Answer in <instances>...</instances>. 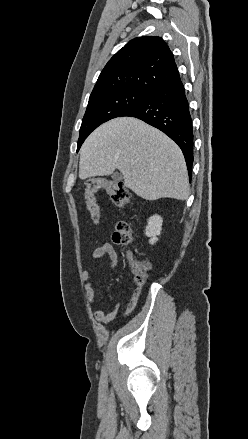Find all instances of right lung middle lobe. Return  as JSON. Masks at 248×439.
Here are the masks:
<instances>
[{
    "mask_svg": "<svg viewBox=\"0 0 248 439\" xmlns=\"http://www.w3.org/2000/svg\"><path fill=\"white\" fill-rule=\"evenodd\" d=\"M147 95L145 92L122 90L90 99L82 119L77 151L87 136L100 124L120 117L124 112L141 102Z\"/></svg>",
    "mask_w": 248,
    "mask_h": 439,
    "instance_id": "1",
    "label": "right lung middle lobe"
}]
</instances>
